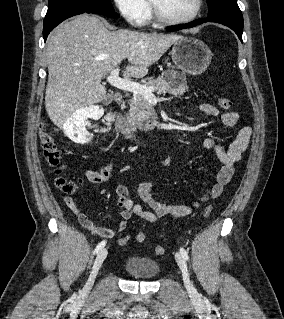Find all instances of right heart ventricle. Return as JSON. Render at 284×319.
<instances>
[{
	"label": "right heart ventricle",
	"instance_id": "e07e8e85",
	"mask_svg": "<svg viewBox=\"0 0 284 319\" xmlns=\"http://www.w3.org/2000/svg\"><path fill=\"white\" fill-rule=\"evenodd\" d=\"M150 19H151V15H150V13H148L146 21H149Z\"/></svg>",
	"mask_w": 284,
	"mask_h": 319
}]
</instances>
